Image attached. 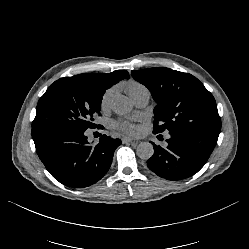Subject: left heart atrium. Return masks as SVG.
I'll list each match as a JSON object with an SVG mask.
<instances>
[{
  "label": "left heart atrium",
  "instance_id": "1",
  "mask_svg": "<svg viewBox=\"0 0 249 249\" xmlns=\"http://www.w3.org/2000/svg\"><path fill=\"white\" fill-rule=\"evenodd\" d=\"M114 127L130 135H135L138 131L137 127L129 121H115Z\"/></svg>",
  "mask_w": 249,
  "mask_h": 249
}]
</instances>
